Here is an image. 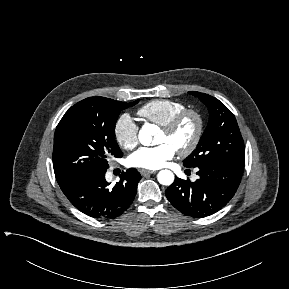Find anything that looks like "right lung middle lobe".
Segmentation results:
<instances>
[{"label": "right lung middle lobe", "instance_id": "1", "mask_svg": "<svg viewBox=\"0 0 289 289\" xmlns=\"http://www.w3.org/2000/svg\"><path fill=\"white\" fill-rule=\"evenodd\" d=\"M124 103L104 97L86 98L72 106L56 127L53 168L61 189L107 170L108 157H122L115 141V124Z\"/></svg>", "mask_w": 289, "mask_h": 289}]
</instances>
